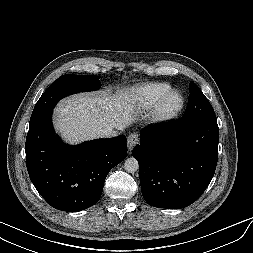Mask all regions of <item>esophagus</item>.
Here are the masks:
<instances>
[{"label":"esophagus","mask_w":253,"mask_h":253,"mask_svg":"<svg viewBox=\"0 0 253 253\" xmlns=\"http://www.w3.org/2000/svg\"><path fill=\"white\" fill-rule=\"evenodd\" d=\"M139 143V138L136 134L132 133L127 137V147L131 151Z\"/></svg>","instance_id":"esophagus-1"}]
</instances>
